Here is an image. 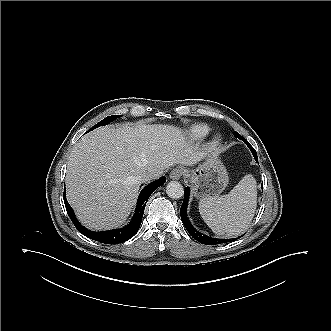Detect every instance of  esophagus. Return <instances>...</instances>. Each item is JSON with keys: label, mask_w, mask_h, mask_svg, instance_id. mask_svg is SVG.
<instances>
[{"label": "esophagus", "mask_w": 331, "mask_h": 331, "mask_svg": "<svg viewBox=\"0 0 331 331\" xmlns=\"http://www.w3.org/2000/svg\"><path fill=\"white\" fill-rule=\"evenodd\" d=\"M183 175V170L181 168H174L170 173V178L172 180H179Z\"/></svg>", "instance_id": "34e87169"}]
</instances>
